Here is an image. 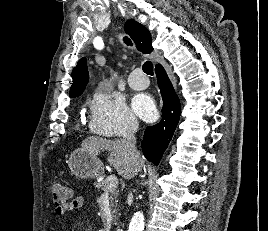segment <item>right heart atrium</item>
<instances>
[{
	"label": "right heart atrium",
	"instance_id": "right-heart-atrium-1",
	"mask_svg": "<svg viewBox=\"0 0 268 231\" xmlns=\"http://www.w3.org/2000/svg\"><path fill=\"white\" fill-rule=\"evenodd\" d=\"M89 113L91 132L102 137H127L137 126L124 99L114 92H94L89 100Z\"/></svg>",
	"mask_w": 268,
	"mask_h": 231
}]
</instances>
